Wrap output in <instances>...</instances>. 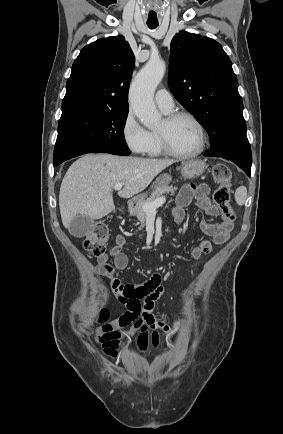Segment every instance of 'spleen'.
I'll list each match as a JSON object with an SVG mask.
<instances>
[{
    "mask_svg": "<svg viewBox=\"0 0 283 434\" xmlns=\"http://www.w3.org/2000/svg\"><path fill=\"white\" fill-rule=\"evenodd\" d=\"M247 198V189L244 186L237 188L235 192V200L238 205H243Z\"/></svg>",
    "mask_w": 283,
    "mask_h": 434,
    "instance_id": "obj_1",
    "label": "spleen"
}]
</instances>
